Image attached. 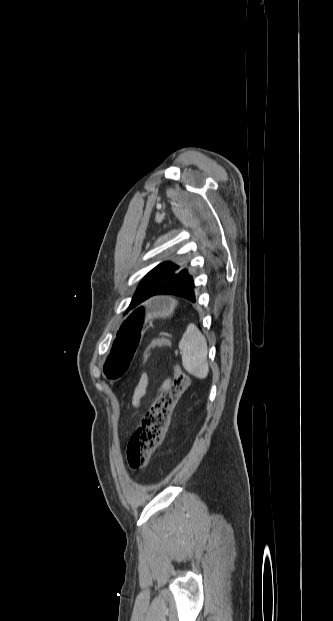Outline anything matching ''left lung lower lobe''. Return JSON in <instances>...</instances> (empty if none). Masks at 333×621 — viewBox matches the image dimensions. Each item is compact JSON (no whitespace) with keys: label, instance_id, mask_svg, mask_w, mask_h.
<instances>
[{"label":"left lung lower lobe","instance_id":"left-lung-lower-lobe-1","mask_svg":"<svg viewBox=\"0 0 333 621\" xmlns=\"http://www.w3.org/2000/svg\"><path fill=\"white\" fill-rule=\"evenodd\" d=\"M194 280L188 272L178 275L176 278L159 288L156 295H176L195 302Z\"/></svg>","mask_w":333,"mask_h":621}]
</instances>
